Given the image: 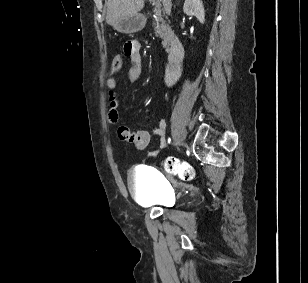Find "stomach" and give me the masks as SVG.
<instances>
[{"instance_id":"1","label":"stomach","mask_w":308,"mask_h":283,"mask_svg":"<svg viewBox=\"0 0 308 283\" xmlns=\"http://www.w3.org/2000/svg\"><path fill=\"white\" fill-rule=\"evenodd\" d=\"M146 18L142 14H134L123 17L113 25L114 29L124 34L135 33L145 27Z\"/></svg>"}]
</instances>
